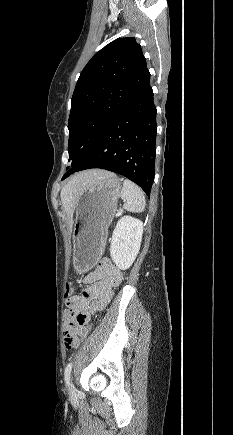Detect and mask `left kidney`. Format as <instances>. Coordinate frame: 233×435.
<instances>
[{"mask_svg": "<svg viewBox=\"0 0 233 435\" xmlns=\"http://www.w3.org/2000/svg\"><path fill=\"white\" fill-rule=\"evenodd\" d=\"M143 222L131 216H123L117 223L111 240L110 255L121 270L128 269L140 250Z\"/></svg>", "mask_w": 233, "mask_h": 435, "instance_id": "5707ae66", "label": "left kidney"}]
</instances>
